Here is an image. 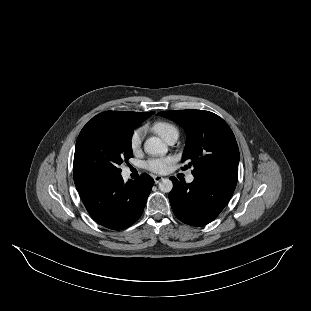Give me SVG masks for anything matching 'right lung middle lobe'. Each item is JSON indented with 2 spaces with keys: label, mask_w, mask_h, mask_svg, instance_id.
Masks as SVG:
<instances>
[{
  "label": "right lung middle lobe",
  "mask_w": 311,
  "mask_h": 311,
  "mask_svg": "<svg viewBox=\"0 0 311 311\" xmlns=\"http://www.w3.org/2000/svg\"><path fill=\"white\" fill-rule=\"evenodd\" d=\"M145 119L127 121L99 114L93 117L76 141L74 178L95 180L120 176L119 166L133 157V131Z\"/></svg>",
  "instance_id": "dd1d6c3e"
}]
</instances>
